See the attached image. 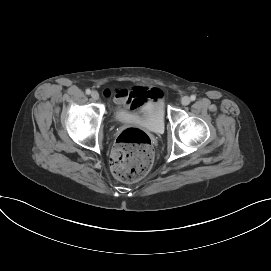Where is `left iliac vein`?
<instances>
[{
  "mask_svg": "<svg viewBox=\"0 0 271 271\" xmlns=\"http://www.w3.org/2000/svg\"><path fill=\"white\" fill-rule=\"evenodd\" d=\"M191 99L188 96H184L181 98V104L186 106L190 103Z\"/></svg>",
  "mask_w": 271,
  "mask_h": 271,
  "instance_id": "obj_1",
  "label": "left iliac vein"
}]
</instances>
